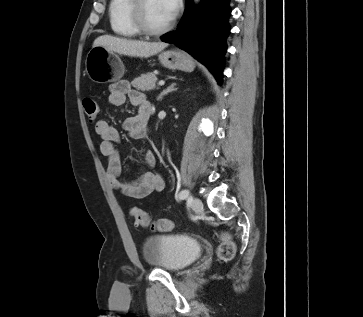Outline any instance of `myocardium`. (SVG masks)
I'll list each match as a JSON object with an SVG mask.
<instances>
[{
    "mask_svg": "<svg viewBox=\"0 0 363 317\" xmlns=\"http://www.w3.org/2000/svg\"><path fill=\"white\" fill-rule=\"evenodd\" d=\"M145 1L146 0H131L129 16L132 25L139 33L149 37L160 36L168 32L173 25V19H171L165 26L158 29H153L146 24L144 19Z\"/></svg>",
    "mask_w": 363,
    "mask_h": 317,
    "instance_id": "1",
    "label": "myocardium"
}]
</instances>
